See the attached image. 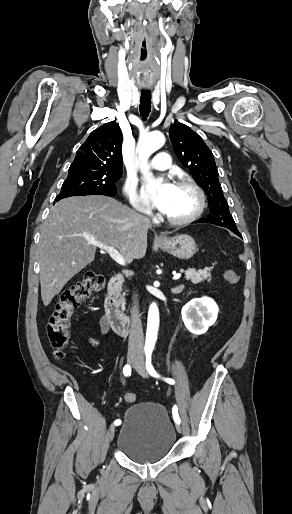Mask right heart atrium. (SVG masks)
Segmentation results:
<instances>
[{
	"label": "right heart atrium",
	"mask_w": 292,
	"mask_h": 514,
	"mask_svg": "<svg viewBox=\"0 0 292 514\" xmlns=\"http://www.w3.org/2000/svg\"><path fill=\"white\" fill-rule=\"evenodd\" d=\"M123 192L134 209H143V213L147 211L148 205L138 190V181L129 174L125 178Z\"/></svg>",
	"instance_id": "1"
}]
</instances>
